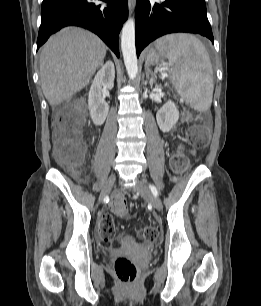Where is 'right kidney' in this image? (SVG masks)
<instances>
[{"mask_svg": "<svg viewBox=\"0 0 261 306\" xmlns=\"http://www.w3.org/2000/svg\"><path fill=\"white\" fill-rule=\"evenodd\" d=\"M115 68L112 61H107L97 72L88 94V108L93 123L102 125L108 115L109 105L105 101L104 92L114 86Z\"/></svg>", "mask_w": 261, "mask_h": 306, "instance_id": "ca27d5eb", "label": "right kidney"}]
</instances>
